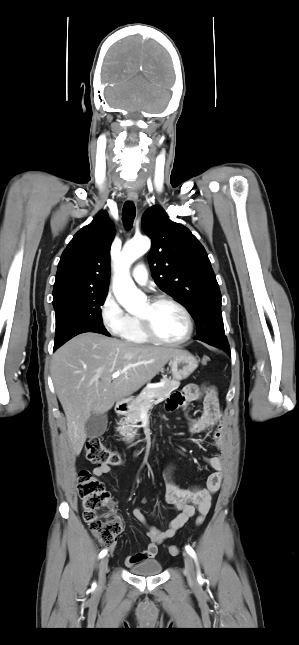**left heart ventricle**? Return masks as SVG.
Instances as JSON below:
<instances>
[{
	"label": "left heart ventricle",
	"instance_id": "b2bd125f",
	"mask_svg": "<svg viewBox=\"0 0 299 645\" xmlns=\"http://www.w3.org/2000/svg\"><path fill=\"white\" fill-rule=\"evenodd\" d=\"M148 313L155 333L167 340H176L184 336L187 330V323L184 315L175 306L162 303L150 307L146 301L141 308L139 315Z\"/></svg>",
	"mask_w": 299,
	"mask_h": 645
}]
</instances>
